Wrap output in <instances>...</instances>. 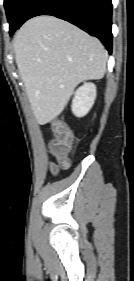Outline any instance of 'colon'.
<instances>
[{
	"instance_id": "1",
	"label": "colon",
	"mask_w": 134,
	"mask_h": 281,
	"mask_svg": "<svg viewBox=\"0 0 134 281\" xmlns=\"http://www.w3.org/2000/svg\"><path fill=\"white\" fill-rule=\"evenodd\" d=\"M53 139L50 142V151L60 168H67L70 164L69 156L73 150L75 136L70 127L62 120L51 122Z\"/></svg>"
}]
</instances>
